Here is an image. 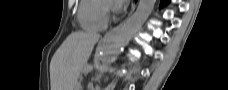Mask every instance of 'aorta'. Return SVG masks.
<instances>
[{"label": "aorta", "mask_w": 228, "mask_h": 90, "mask_svg": "<svg viewBox=\"0 0 228 90\" xmlns=\"http://www.w3.org/2000/svg\"><path fill=\"white\" fill-rule=\"evenodd\" d=\"M154 4L155 0H140L135 13L121 28L106 39L100 56L102 66L111 64L116 60L122 48L129 43L133 35L146 22L154 8Z\"/></svg>", "instance_id": "aorta-1"}]
</instances>
